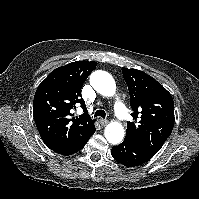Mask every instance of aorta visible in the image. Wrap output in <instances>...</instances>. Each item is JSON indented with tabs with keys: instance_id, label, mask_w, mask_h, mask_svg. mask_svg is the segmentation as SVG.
Instances as JSON below:
<instances>
[{
	"instance_id": "762f6f07",
	"label": "aorta",
	"mask_w": 199,
	"mask_h": 199,
	"mask_svg": "<svg viewBox=\"0 0 199 199\" xmlns=\"http://www.w3.org/2000/svg\"><path fill=\"white\" fill-rule=\"evenodd\" d=\"M90 84L101 95L113 96L116 84L113 77L106 71L97 70L90 76ZM105 138L113 145L119 144L124 138V128L119 122H111L105 128Z\"/></svg>"
}]
</instances>
